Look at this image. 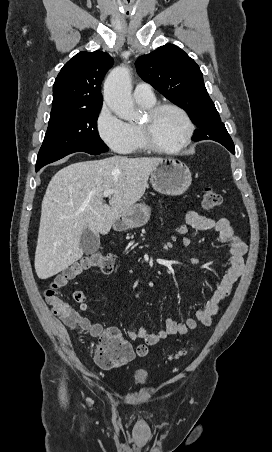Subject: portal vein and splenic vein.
<instances>
[{
	"mask_svg": "<svg viewBox=\"0 0 272 452\" xmlns=\"http://www.w3.org/2000/svg\"><path fill=\"white\" fill-rule=\"evenodd\" d=\"M112 194H113L112 190H106L103 192V197H111Z\"/></svg>",
	"mask_w": 272,
	"mask_h": 452,
	"instance_id": "18ae733b",
	"label": "portal vein and splenic vein"
}]
</instances>
